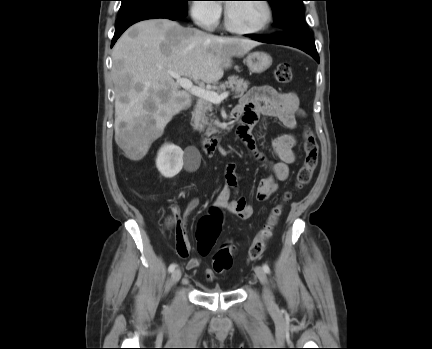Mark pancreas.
Listing matches in <instances>:
<instances>
[{
    "instance_id": "pancreas-1",
    "label": "pancreas",
    "mask_w": 432,
    "mask_h": 349,
    "mask_svg": "<svg viewBox=\"0 0 432 349\" xmlns=\"http://www.w3.org/2000/svg\"><path fill=\"white\" fill-rule=\"evenodd\" d=\"M248 81L239 78L238 76H229L228 80L220 84L217 89V93L223 92L226 88L230 87L234 92V98L241 97L248 89ZM212 102L199 98L193 112L194 128L203 131L206 128V135L211 136L217 133L215 126L216 121L214 120Z\"/></svg>"
}]
</instances>
